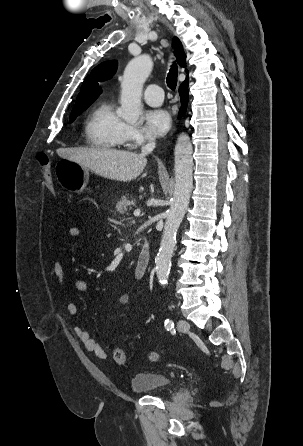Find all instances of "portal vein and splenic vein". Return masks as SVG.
Instances as JSON below:
<instances>
[{
    "instance_id": "18ae733b",
    "label": "portal vein and splenic vein",
    "mask_w": 303,
    "mask_h": 446,
    "mask_svg": "<svg viewBox=\"0 0 303 446\" xmlns=\"http://www.w3.org/2000/svg\"><path fill=\"white\" fill-rule=\"evenodd\" d=\"M140 213H141L140 209H136V210L134 211V216H139Z\"/></svg>"
}]
</instances>
